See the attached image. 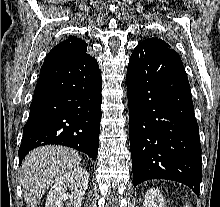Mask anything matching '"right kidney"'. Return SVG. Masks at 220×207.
I'll return each mask as SVG.
<instances>
[{"label": "right kidney", "mask_w": 220, "mask_h": 207, "mask_svg": "<svg viewBox=\"0 0 220 207\" xmlns=\"http://www.w3.org/2000/svg\"><path fill=\"white\" fill-rule=\"evenodd\" d=\"M88 181L89 174L81 167L62 175L50 189L45 207H81Z\"/></svg>", "instance_id": "right-kidney-1"}]
</instances>
